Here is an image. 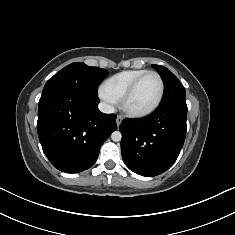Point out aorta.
<instances>
[{"mask_svg":"<svg viewBox=\"0 0 235 235\" xmlns=\"http://www.w3.org/2000/svg\"><path fill=\"white\" fill-rule=\"evenodd\" d=\"M121 138H122V135L119 131H114L112 134H111V139L114 141V142H119L121 141Z\"/></svg>","mask_w":235,"mask_h":235,"instance_id":"1","label":"aorta"}]
</instances>
